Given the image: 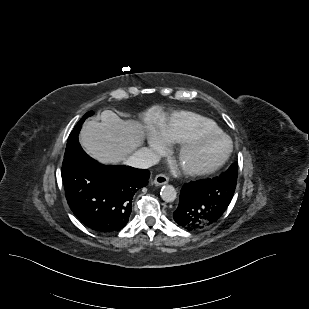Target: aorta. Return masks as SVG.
Listing matches in <instances>:
<instances>
[{"label":"aorta","instance_id":"obj_1","mask_svg":"<svg viewBox=\"0 0 309 309\" xmlns=\"http://www.w3.org/2000/svg\"><path fill=\"white\" fill-rule=\"evenodd\" d=\"M160 195L163 201L169 203L176 199L177 192L172 185H165L161 188Z\"/></svg>","mask_w":309,"mask_h":309}]
</instances>
